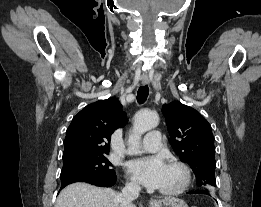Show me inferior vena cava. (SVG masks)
Masks as SVG:
<instances>
[{
    "mask_svg": "<svg viewBox=\"0 0 261 207\" xmlns=\"http://www.w3.org/2000/svg\"><path fill=\"white\" fill-rule=\"evenodd\" d=\"M141 188L138 183H127L123 188L122 193L119 194L120 207H131L133 200L138 198Z\"/></svg>",
    "mask_w": 261,
    "mask_h": 207,
    "instance_id": "1",
    "label": "inferior vena cava"
}]
</instances>
